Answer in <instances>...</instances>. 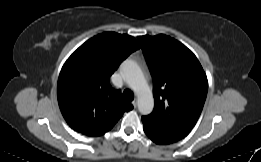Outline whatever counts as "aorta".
<instances>
[{
  "mask_svg": "<svg viewBox=\"0 0 261 162\" xmlns=\"http://www.w3.org/2000/svg\"><path fill=\"white\" fill-rule=\"evenodd\" d=\"M122 75L138 98V110L141 114H150L154 107V98L144 73L132 60H125L121 65Z\"/></svg>",
  "mask_w": 261,
  "mask_h": 162,
  "instance_id": "aorta-1",
  "label": "aorta"
}]
</instances>
